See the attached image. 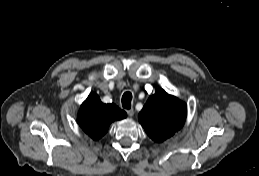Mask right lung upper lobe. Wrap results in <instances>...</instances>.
<instances>
[{
	"instance_id": "obj_1",
	"label": "right lung upper lobe",
	"mask_w": 259,
	"mask_h": 176,
	"mask_svg": "<svg viewBox=\"0 0 259 176\" xmlns=\"http://www.w3.org/2000/svg\"><path fill=\"white\" fill-rule=\"evenodd\" d=\"M127 116L115 104H104L96 93H91L82 103L78 113L80 127L94 140L101 138L109 125Z\"/></svg>"
}]
</instances>
